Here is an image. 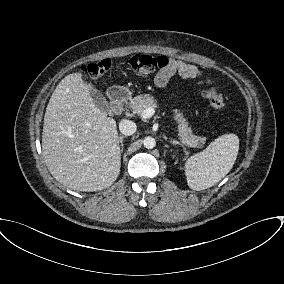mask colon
I'll use <instances>...</instances> for the list:
<instances>
[{
  "label": "colon",
  "mask_w": 284,
  "mask_h": 284,
  "mask_svg": "<svg viewBox=\"0 0 284 284\" xmlns=\"http://www.w3.org/2000/svg\"><path fill=\"white\" fill-rule=\"evenodd\" d=\"M169 64L167 57L159 56L154 57L148 54H137L129 60V66L131 70L140 76H146L154 73L158 70L166 68ZM111 67L109 60H102L95 63H90L83 67L86 72L92 78H102L107 74ZM203 97H205L212 107L217 110H223L225 108V102L223 97L213 88L207 87L202 91Z\"/></svg>",
  "instance_id": "1"
}]
</instances>
